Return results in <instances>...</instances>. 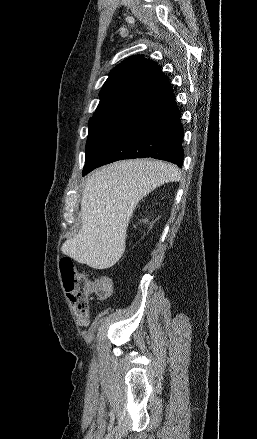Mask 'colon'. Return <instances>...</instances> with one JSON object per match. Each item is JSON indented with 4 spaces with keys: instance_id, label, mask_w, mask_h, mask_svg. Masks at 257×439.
I'll use <instances>...</instances> for the list:
<instances>
[{
    "instance_id": "1",
    "label": "colon",
    "mask_w": 257,
    "mask_h": 439,
    "mask_svg": "<svg viewBox=\"0 0 257 439\" xmlns=\"http://www.w3.org/2000/svg\"><path fill=\"white\" fill-rule=\"evenodd\" d=\"M60 270L69 303L79 317H88L91 296L105 298L112 292V283L108 277L101 276L90 280L76 270L71 259H61Z\"/></svg>"
}]
</instances>
